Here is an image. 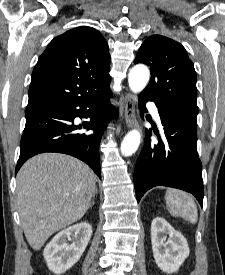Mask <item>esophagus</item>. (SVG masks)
I'll return each instance as SVG.
<instances>
[{
    "label": "esophagus",
    "instance_id": "obj_1",
    "mask_svg": "<svg viewBox=\"0 0 225 275\" xmlns=\"http://www.w3.org/2000/svg\"><path fill=\"white\" fill-rule=\"evenodd\" d=\"M124 118L128 128L138 127L136 118V96L126 93L124 98Z\"/></svg>",
    "mask_w": 225,
    "mask_h": 275
}]
</instances>
